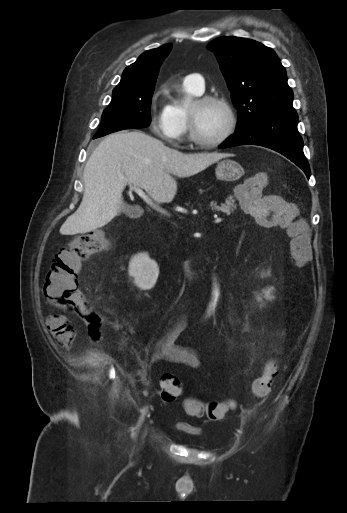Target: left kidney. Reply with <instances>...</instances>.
<instances>
[{"label": "left kidney", "instance_id": "5707ae66", "mask_svg": "<svg viewBox=\"0 0 347 513\" xmlns=\"http://www.w3.org/2000/svg\"><path fill=\"white\" fill-rule=\"evenodd\" d=\"M264 293H265L266 298H268V299L272 298V296H270V291H265Z\"/></svg>", "mask_w": 347, "mask_h": 513}]
</instances>
